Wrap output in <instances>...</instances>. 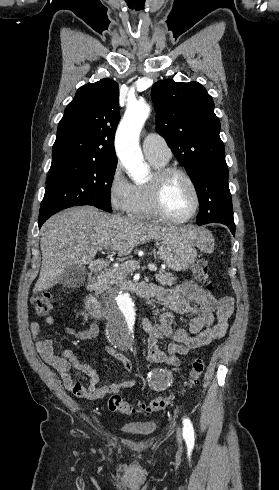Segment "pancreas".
<instances>
[{
	"instance_id": "1",
	"label": "pancreas",
	"mask_w": 279,
	"mask_h": 490,
	"mask_svg": "<svg viewBox=\"0 0 279 490\" xmlns=\"http://www.w3.org/2000/svg\"><path fill=\"white\" fill-rule=\"evenodd\" d=\"M133 272H135V266H128V264H120L118 268H108L105 274L99 276L95 282L97 284L98 294H103L106 290H111L113 284H123L126 276L133 274ZM155 278L162 286H173L176 280V278H173V274L163 272V270L159 274H155Z\"/></svg>"
}]
</instances>
